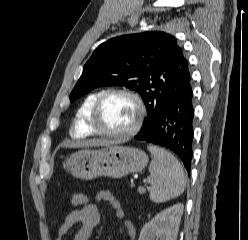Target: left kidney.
Instances as JSON below:
<instances>
[{
	"instance_id": "5707ae66",
	"label": "left kidney",
	"mask_w": 248,
	"mask_h": 240,
	"mask_svg": "<svg viewBox=\"0 0 248 240\" xmlns=\"http://www.w3.org/2000/svg\"><path fill=\"white\" fill-rule=\"evenodd\" d=\"M184 206L175 204L146 223L138 240H176Z\"/></svg>"
}]
</instances>
